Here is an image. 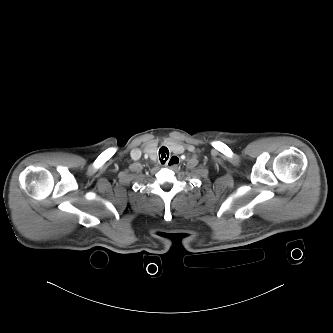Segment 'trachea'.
Instances as JSON below:
<instances>
[{"label": "trachea", "instance_id": "3493384b", "mask_svg": "<svg viewBox=\"0 0 333 333\" xmlns=\"http://www.w3.org/2000/svg\"><path fill=\"white\" fill-rule=\"evenodd\" d=\"M169 150L166 147H161L159 150V159L161 164H164L169 157Z\"/></svg>", "mask_w": 333, "mask_h": 333}]
</instances>
